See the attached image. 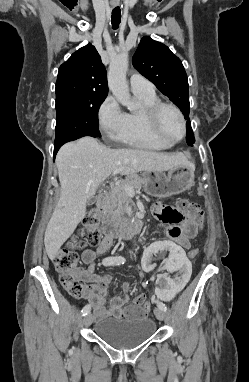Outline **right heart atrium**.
I'll list each match as a JSON object with an SVG mask.
<instances>
[{
    "instance_id": "d8ad5b80",
    "label": "right heart atrium",
    "mask_w": 249,
    "mask_h": 382,
    "mask_svg": "<svg viewBox=\"0 0 249 382\" xmlns=\"http://www.w3.org/2000/svg\"><path fill=\"white\" fill-rule=\"evenodd\" d=\"M98 125L107 137L118 139L125 131L126 113L113 96H108L98 109Z\"/></svg>"
}]
</instances>
